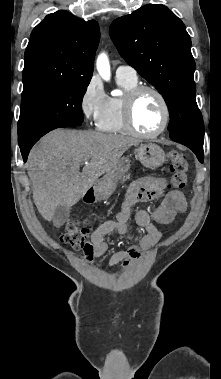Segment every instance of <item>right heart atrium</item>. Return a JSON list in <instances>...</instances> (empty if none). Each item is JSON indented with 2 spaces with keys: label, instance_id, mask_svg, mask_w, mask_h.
I'll use <instances>...</instances> for the list:
<instances>
[{
  "label": "right heart atrium",
  "instance_id": "1",
  "mask_svg": "<svg viewBox=\"0 0 221 379\" xmlns=\"http://www.w3.org/2000/svg\"><path fill=\"white\" fill-rule=\"evenodd\" d=\"M107 101L108 96L101 83L96 78H91L80 99V108L84 117L97 124L106 109Z\"/></svg>",
  "mask_w": 221,
  "mask_h": 379
}]
</instances>
